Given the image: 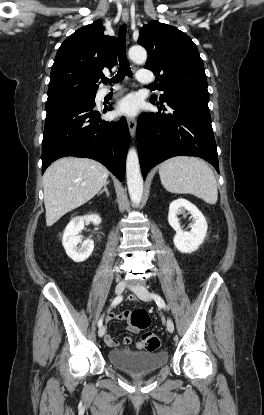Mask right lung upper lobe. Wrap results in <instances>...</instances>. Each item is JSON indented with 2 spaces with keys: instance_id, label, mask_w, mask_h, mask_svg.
Wrapping results in <instances>:
<instances>
[{
  "instance_id": "cb5924a9",
  "label": "right lung upper lobe",
  "mask_w": 264,
  "mask_h": 415,
  "mask_svg": "<svg viewBox=\"0 0 264 415\" xmlns=\"http://www.w3.org/2000/svg\"><path fill=\"white\" fill-rule=\"evenodd\" d=\"M100 20L69 36L58 49L51 69L48 99L69 94H96L102 70L115 65L116 39L103 34Z\"/></svg>"
}]
</instances>
